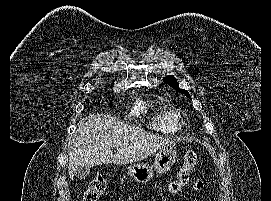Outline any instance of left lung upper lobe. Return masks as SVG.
Masks as SVG:
<instances>
[{"label":"left lung upper lobe","mask_w":271,"mask_h":201,"mask_svg":"<svg viewBox=\"0 0 271 201\" xmlns=\"http://www.w3.org/2000/svg\"><path fill=\"white\" fill-rule=\"evenodd\" d=\"M163 80L167 84H169L173 89H175L178 92H181V93L185 94L189 99H191V96L189 95L187 90L179 88V84H178L176 78L173 75H168V76L164 77Z\"/></svg>","instance_id":"5c2ea615"}]
</instances>
